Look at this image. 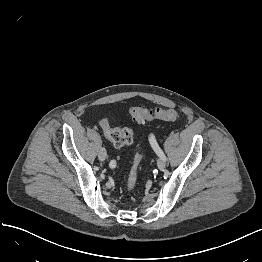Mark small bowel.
I'll use <instances>...</instances> for the list:
<instances>
[{
	"label": "small bowel",
	"instance_id": "c3829d8e",
	"mask_svg": "<svg viewBox=\"0 0 262 262\" xmlns=\"http://www.w3.org/2000/svg\"><path fill=\"white\" fill-rule=\"evenodd\" d=\"M149 141H150V144H152V142H155V141H156V138H155V136H154L153 134H150V136H149ZM109 166H110V165H109ZM115 166H116V163L113 164L111 168H115Z\"/></svg>",
	"mask_w": 262,
	"mask_h": 262
}]
</instances>
